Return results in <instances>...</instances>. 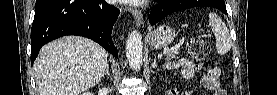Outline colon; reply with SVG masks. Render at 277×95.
Returning <instances> with one entry per match:
<instances>
[{
    "label": "colon",
    "mask_w": 277,
    "mask_h": 95,
    "mask_svg": "<svg viewBox=\"0 0 277 95\" xmlns=\"http://www.w3.org/2000/svg\"><path fill=\"white\" fill-rule=\"evenodd\" d=\"M187 51L195 61H203L210 52V44L201 36H193L187 42ZM215 73L213 70L210 75Z\"/></svg>",
    "instance_id": "obj_1"
}]
</instances>
